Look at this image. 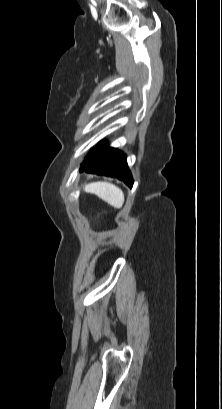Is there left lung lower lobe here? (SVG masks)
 I'll return each instance as SVG.
<instances>
[{
	"label": "left lung lower lobe",
	"instance_id": "obj_1",
	"mask_svg": "<svg viewBox=\"0 0 222 409\" xmlns=\"http://www.w3.org/2000/svg\"><path fill=\"white\" fill-rule=\"evenodd\" d=\"M80 171L117 177L129 187L133 185L125 154L117 149L108 148L105 142L100 143L95 150L86 156Z\"/></svg>",
	"mask_w": 222,
	"mask_h": 409
}]
</instances>
